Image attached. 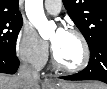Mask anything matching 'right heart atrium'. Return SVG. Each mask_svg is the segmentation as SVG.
<instances>
[{"label": "right heart atrium", "instance_id": "d8ad5b80", "mask_svg": "<svg viewBox=\"0 0 107 89\" xmlns=\"http://www.w3.org/2000/svg\"><path fill=\"white\" fill-rule=\"evenodd\" d=\"M18 57L35 69L42 68L48 59V45L30 25H23L15 42Z\"/></svg>", "mask_w": 107, "mask_h": 89}]
</instances>
